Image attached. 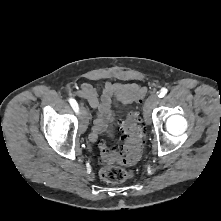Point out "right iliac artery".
Returning a JSON list of instances; mask_svg holds the SVG:
<instances>
[{
  "instance_id": "82829eb1",
  "label": "right iliac artery",
  "mask_w": 221,
  "mask_h": 221,
  "mask_svg": "<svg viewBox=\"0 0 221 221\" xmlns=\"http://www.w3.org/2000/svg\"><path fill=\"white\" fill-rule=\"evenodd\" d=\"M69 103H70V105L72 106V108L74 109L75 112L79 111V107H78V104H77L75 99L69 98Z\"/></svg>"
}]
</instances>
